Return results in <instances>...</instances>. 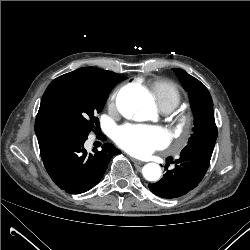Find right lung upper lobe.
I'll return each mask as SVG.
<instances>
[{
    "label": "right lung upper lobe",
    "instance_id": "obj_1",
    "mask_svg": "<svg viewBox=\"0 0 250 250\" xmlns=\"http://www.w3.org/2000/svg\"><path fill=\"white\" fill-rule=\"evenodd\" d=\"M115 74L116 73H113L111 71H106V70H102V69L95 68V67H83V68L77 69V70H75L73 72L64 74V75L56 78L55 80H53L51 82V84L48 86V88H50L51 86H53L54 84H56L59 81L69 79V78H79V77L108 78V77L114 76ZM37 115H39V114H37ZM42 130L43 129L39 125L38 118L36 117L35 132L38 133V132H40Z\"/></svg>",
    "mask_w": 250,
    "mask_h": 250
}]
</instances>
